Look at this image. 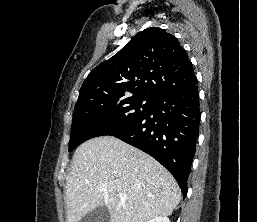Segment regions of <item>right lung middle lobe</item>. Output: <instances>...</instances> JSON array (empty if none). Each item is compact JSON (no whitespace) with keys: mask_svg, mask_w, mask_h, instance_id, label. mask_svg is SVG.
I'll return each mask as SVG.
<instances>
[{"mask_svg":"<svg viewBox=\"0 0 257 222\" xmlns=\"http://www.w3.org/2000/svg\"><path fill=\"white\" fill-rule=\"evenodd\" d=\"M155 100L143 95L102 96L76 104L69 151L88 139L114 135L129 128L153 110Z\"/></svg>","mask_w":257,"mask_h":222,"instance_id":"dd1d6c3e","label":"right lung middle lobe"}]
</instances>
